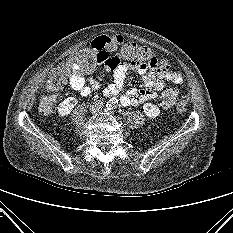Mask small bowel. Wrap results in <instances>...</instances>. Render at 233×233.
Masks as SVG:
<instances>
[{
    "label": "small bowel",
    "mask_w": 233,
    "mask_h": 233,
    "mask_svg": "<svg viewBox=\"0 0 233 233\" xmlns=\"http://www.w3.org/2000/svg\"><path fill=\"white\" fill-rule=\"evenodd\" d=\"M107 39L109 37L97 38L93 41L92 46H98ZM111 39L123 41V38L120 36ZM101 63L113 72V82L103 90L105 96L118 95L123 91L126 74L129 69L135 70L142 76L146 88H131L125 92L120 98L124 106H136L156 98L158 92L164 88L165 80L175 84H179L183 80L180 73L169 71L168 68H152L144 65L123 63L117 52H110ZM69 82L70 86L82 96H89L99 88V84L94 79H89L87 84L85 78L76 72L70 75Z\"/></svg>",
    "instance_id": "c3829d8e"
}]
</instances>
